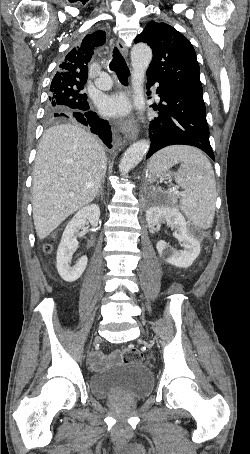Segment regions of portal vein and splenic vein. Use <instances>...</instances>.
Instances as JSON below:
<instances>
[{"mask_svg": "<svg viewBox=\"0 0 250 454\" xmlns=\"http://www.w3.org/2000/svg\"><path fill=\"white\" fill-rule=\"evenodd\" d=\"M170 191H173L175 193H179V191L177 190V188H171Z\"/></svg>", "mask_w": 250, "mask_h": 454, "instance_id": "1", "label": "portal vein and splenic vein"}]
</instances>
